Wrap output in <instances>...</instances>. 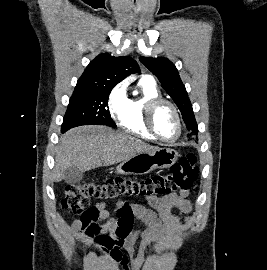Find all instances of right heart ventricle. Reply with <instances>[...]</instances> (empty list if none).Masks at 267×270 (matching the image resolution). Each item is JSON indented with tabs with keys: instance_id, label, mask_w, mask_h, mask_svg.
I'll return each mask as SVG.
<instances>
[{
	"instance_id": "e07e8e85",
	"label": "right heart ventricle",
	"mask_w": 267,
	"mask_h": 270,
	"mask_svg": "<svg viewBox=\"0 0 267 270\" xmlns=\"http://www.w3.org/2000/svg\"><path fill=\"white\" fill-rule=\"evenodd\" d=\"M142 95L129 99L119 125L128 133L146 140H155L147 130L144 123V112L147 102L153 98L161 97L160 91L154 81L142 78L139 81Z\"/></svg>"
}]
</instances>
